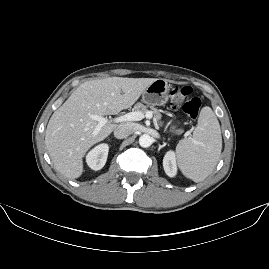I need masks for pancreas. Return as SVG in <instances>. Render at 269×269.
Returning <instances> with one entry per match:
<instances>
[{
    "label": "pancreas",
    "instance_id": "obj_1",
    "mask_svg": "<svg viewBox=\"0 0 269 269\" xmlns=\"http://www.w3.org/2000/svg\"><path fill=\"white\" fill-rule=\"evenodd\" d=\"M135 111L141 112L143 115H145L148 111H151L154 115V118L157 120L161 119L162 114L160 113V110H158L154 106H147L142 103H138L134 107ZM169 132L171 133V136L180 135L184 132V128L178 126L177 124H171V127L169 129Z\"/></svg>",
    "mask_w": 269,
    "mask_h": 269
}]
</instances>
